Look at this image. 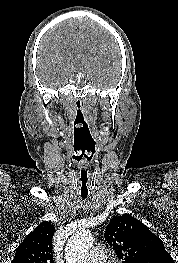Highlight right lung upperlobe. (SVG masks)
Instances as JSON below:
<instances>
[{
    "label": "right lung upper lobe",
    "mask_w": 178,
    "mask_h": 263,
    "mask_svg": "<svg viewBox=\"0 0 178 263\" xmlns=\"http://www.w3.org/2000/svg\"><path fill=\"white\" fill-rule=\"evenodd\" d=\"M54 226L44 221L18 246L11 263H54L52 238Z\"/></svg>",
    "instance_id": "right-lung-upper-lobe-1"
}]
</instances>
